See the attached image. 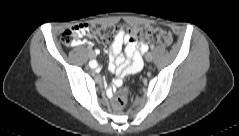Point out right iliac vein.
<instances>
[{"label":"right iliac vein","mask_w":239,"mask_h":136,"mask_svg":"<svg viewBox=\"0 0 239 136\" xmlns=\"http://www.w3.org/2000/svg\"><path fill=\"white\" fill-rule=\"evenodd\" d=\"M89 57H90V58H92V59H93V58H95V57H96V54H95V52H94V51H92V53H89Z\"/></svg>","instance_id":"right-iliac-vein-1"}]
</instances>
